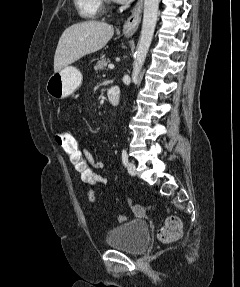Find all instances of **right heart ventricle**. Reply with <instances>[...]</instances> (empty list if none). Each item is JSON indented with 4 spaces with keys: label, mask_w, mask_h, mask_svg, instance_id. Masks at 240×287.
<instances>
[{
    "label": "right heart ventricle",
    "mask_w": 240,
    "mask_h": 287,
    "mask_svg": "<svg viewBox=\"0 0 240 287\" xmlns=\"http://www.w3.org/2000/svg\"><path fill=\"white\" fill-rule=\"evenodd\" d=\"M75 7L82 18L95 19L103 10L102 0H74Z\"/></svg>",
    "instance_id": "e07e8e85"
}]
</instances>
